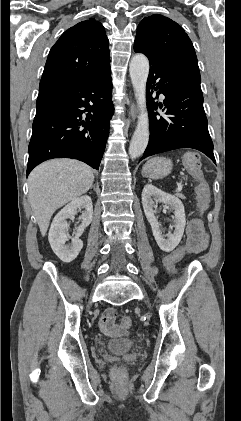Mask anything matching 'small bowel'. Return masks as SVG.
Segmentation results:
<instances>
[{
  "mask_svg": "<svg viewBox=\"0 0 241 421\" xmlns=\"http://www.w3.org/2000/svg\"><path fill=\"white\" fill-rule=\"evenodd\" d=\"M208 243L207 234L197 219H192L187 226L186 250L188 253H199L203 251ZM116 310L108 308L99 320L100 330L108 336H125L128 334L131 325L117 324Z\"/></svg>",
  "mask_w": 241,
  "mask_h": 421,
  "instance_id": "obj_1",
  "label": "small bowel"
}]
</instances>
